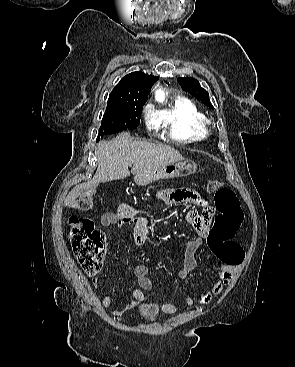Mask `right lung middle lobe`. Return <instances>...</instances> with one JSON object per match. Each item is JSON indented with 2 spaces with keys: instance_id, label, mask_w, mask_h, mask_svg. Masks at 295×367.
Segmentation results:
<instances>
[{
  "instance_id": "right-lung-middle-lobe-1",
  "label": "right lung middle lobe",
  "mask_w": 295,
  "mask_h": 367,
  "mask_svg": "<svg viewBox=\"0 0 295 367\" xmlns=\"http://www.w3.org/2000/svg\"><path fill=\"white\" fill-rule=\"evenodd\" d=\"M145 102L107 103L106 111L99 129L100 136L114 134L123 130H134L140 124V116Z\"/></svg>"
}]
</instances>
